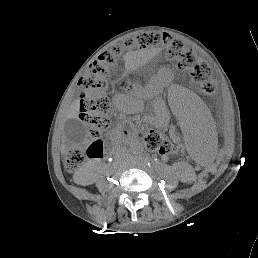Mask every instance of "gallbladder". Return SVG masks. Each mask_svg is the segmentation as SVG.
Instances as JSON below:
<instances>
[{
	"label": "gallbladder",
	"instance_id": "obj_1",
	"mask_svg": "<svg viewBox=\"0 0 258 258\" xmlns=\"http://www.w3.org/2000/svg\"><path fill=\"white\" fill-rule=\"evenodd\" d=\"M64 131L67 139L74 143H82L86 140L88 130L79 119H69L65 122Z\"/></svg>",
	"mask_w": 258,
	"mask_h": 258
}]
</instances>
